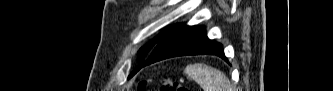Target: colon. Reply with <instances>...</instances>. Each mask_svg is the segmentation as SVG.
I'll return each instance as SVG.
<instances>
[{
  "mask_svg": "<svg viewBox=\"0 0 333 91\" xmlns=\"http://www.w3.org/2000/svg\"><path fill=\"white\" fill-rule=\"evenodd\" d=\"M149 82L146 80L141 81L138 84V91H145L147 90ZM161 91H188L187 87L182 85L179 82L172 81L170 79H163L161 80Z\"/></svg>",
  "mask_w": 333,
  "mask_h": 91,
  "instance_id": "colon-1",
  "label": "colon"
}]
</instances>
